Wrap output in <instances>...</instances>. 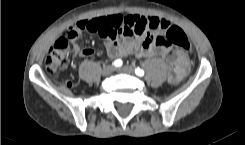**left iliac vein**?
Listing matches in <instances>:
<instances>
[{"label": "left iliac vein", "mask_w": 245, "mask_h": 145, "mask_svg": "<svg viewBox=\"0 0 245 145\" xmlns=\"http://www.w3.org/2000/svg\"><path fill=\"white\" fill-rule=\"evenodd\" d=\"M119 71L126 74L134 73V68L132 66H124L119 68Z\"/></svg>", "instance_id": "1"}]
</instances>
